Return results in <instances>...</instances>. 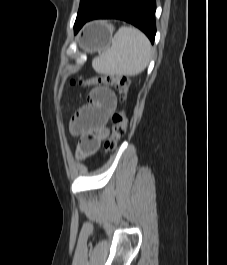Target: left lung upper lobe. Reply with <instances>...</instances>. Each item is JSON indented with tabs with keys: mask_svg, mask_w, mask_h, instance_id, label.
<instances>
[{
	"mask_svg": "<svg viewBox=\"0 0 227 265\" xmlns=\"http://www.w3.org/2000/svg\"><path fill=\"white\" fill-rule=\"evenodd\" d=\"M104 1L105 0H81L75 23L91 15Z\"/></svg>",
	"mask_w": 227,
	"mask_h": 265,
	"instance_id": "1",
	"label": "left lung upper lobe"
}]
</instances>
